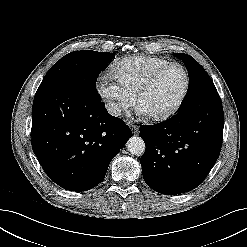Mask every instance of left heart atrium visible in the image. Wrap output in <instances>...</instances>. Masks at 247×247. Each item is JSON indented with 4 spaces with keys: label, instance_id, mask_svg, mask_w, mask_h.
<instances>
[{
    "label": "left heart atrium",
    "instance_id": "left-heart-atrium-1",
    "mask_svg": "<svg viewBox=\"0 0 247 247\" xmlns=\"http://www.w3.org/2000/svg\"><path fill=\"white\" fill-rule=\"evenodd\" d=\"M140 112L143 114H146L141 108H139Z\"/></svg>",
    "mask_w": 247,
    "mask_h": 247
}]
</instances>
